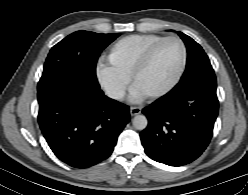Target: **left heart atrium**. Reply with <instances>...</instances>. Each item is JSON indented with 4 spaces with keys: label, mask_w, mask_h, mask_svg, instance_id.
<instances>
[{
    "label": "left heart atrium",
    "mask_w": 248,
    "mask_h": 195,
    "mask_svg": "<svg viewBox=\"0 0 248 195\" xmlns=\"http://www.w3.org/2000/svg\"><path fill=\"white\" fill-rule=\"evenodd\" d=\"M141 95H142V93L140 92V91H137L136 90V92L134 93V99H140L141 98Z\"/></svg>",
    "instance_id": "39dd6f15"
}]
</instances>
